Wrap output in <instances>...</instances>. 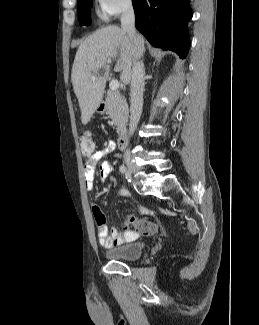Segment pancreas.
I'll return each mask as SVG.
<instances>
[{"mask_svg":"<svg viewBox=\"0 0 259 325\" xmlns=\"http://www.w3.org/2000/svg\"><path fill=\"white\" fill-rule=\"evenodd\" d=\"M107 114L116 126L118 133L122 134L126 130L128 122V106L125 99L117 91H110L106 98Z\"/></svg>","mask_w":259,"mask_h":325,"instance_id":"obj_1","label":"pancreas"}]
</instances>
